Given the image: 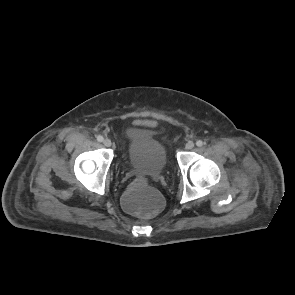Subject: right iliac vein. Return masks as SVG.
Wrapping results in <instances>:
<instances>
[{
    "label": "right iliac vein",
    "instance_id": "right-iliac-vein-1",
    "mask_svg": "<svg viewBox=\"0 0 295 295\" xmlns=\"http://www.w3.org/2000/svg\"><path fill=\"white\" fill-rule=\"evenodd\" d=\"M103 144L106 146V147H110L112 145V142L110 139L106 138L104 141H103Z\"/></svg>",
    "mask_w": 295,
    "mask_h": 295
}]
</instances>
